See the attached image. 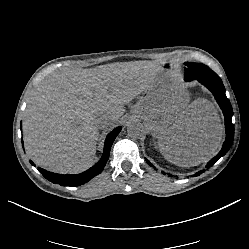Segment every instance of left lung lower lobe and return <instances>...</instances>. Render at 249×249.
<instances>
[{"instance_id":"1","label":"left lung lower lobe","mask_w":249,"mask_h":249,"mask_svg":"<svg viewBox=\"0 0 249 249\" xmlns=\"http://www.w3.org/2000/svg\"><path fill=\"white\" fill-rule=\"evenodd\" d=\"M197 80L212 92L217 103L222 109L224 118H225L226 140L223 143V146L220 152L214 158H212L206 165V169H209L214 163H216L219 160V158L224 156L231 147L233 136H234V129H233L232 121H231L233 110H232V106L230 104L229 99L226 97L225 87L219 76L200 78ZM185 81H191V80L185 79ZM146 161L152 167V164L148 160ZM202 172H205V170L197 172L195 176L200 175ZM163 174L165 173L163 172Z\"/></svg>"}]
</instances>
